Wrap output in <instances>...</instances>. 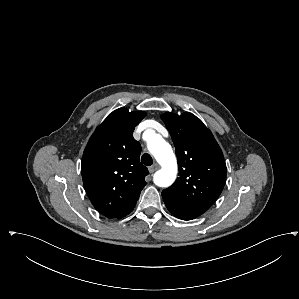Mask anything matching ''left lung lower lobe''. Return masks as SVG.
Segmentation results:
<instances>
[{
    "instance_id": "1",
    "label": "left lung lower lobe",
    "mask_w": 299,
    "mask_h": 299,
    "mask_svg": "<svg viewBox=\"0 0 299 299\" xmlns=\"http://www.w3.org/2000/svg\"><path fill=\"white\" fill-rule=\"evenodd\" d=\"M162 197L170 213L179 219L192 220L202 214L183 205L182 203L178 202L177 200H175L173 197H171L166 193L162 192Z\"/></svg>"
}]
</instances>
